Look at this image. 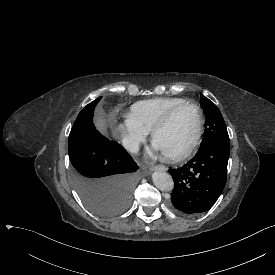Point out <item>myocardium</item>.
Instances as JSON below:
<instances>
[{"mask_svg":"<svg viewBox=\"0 0 275 275\" xmlns=\"http://www.w3.org/2000/svg\"><path fill=\"white\" fill-rule=\"evenodd\" d=\"M185 106L191 107L195 112V117H196L195 130H194L193 136L191 137V139L187 142V144L185 146H183L182 148H180L179 150H177L174 153H170V154L162 153V155L166 159H169V160H180V159L186 157L188 154L191 153V151L197 145V143L200 139L201 133H202V125H203V120H202V116H201L199 107L191 101H185V102L175 105L165 114L163 119L160 122H158L150 132L151 142L153 144V141H154V138L156 137V135L159 134L160 132H162L163 130H165L171 123V120H172L173 116L175 115V113L179 109H181L182 107H185Z\"/></svg>","mask_w":275,"mask_h":275,"instance_id":"1","label":"myocardium"}]
</instances>
